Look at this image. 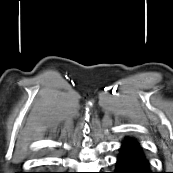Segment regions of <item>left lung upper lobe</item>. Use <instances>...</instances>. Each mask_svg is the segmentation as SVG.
<instances>
[{
  "instance_id": "left-lung-upper-lobe-1",
  "label": "left lung upper lobe",
  "mask_w": 173,
  "mask_h": 173,
  "mask_svg": "<svg viewBox=\"0 0 173 173\" xmlns=\"http://www.w3.org/2000/svg\"><path fill=\"white\" fill-rule=\"evenodd\" d=\"M124 141L138 143V141L136 139L131 138V137H125Z\"/></svg>"
}]
</instances>
